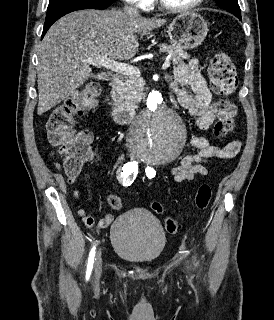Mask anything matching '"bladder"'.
Masks as SVG:
<instances>
[{
  "label": "bladder",
  "mask_w": 274,
  "mask_h": 320,
  "mask_svg": "<svg viewBox=\"0 0 274 320\" xmlns=\"http://www.w3.org/2000/svg\"><path fill=\"white\" fill-rule=\"evenodd\" d=\"M110 233L114 252L132 263H153L166 246V235L159 220L140 208L120 214L113 221Z\"/></svg>",
  "instance_id": "obj_1"
}]
</instances>
